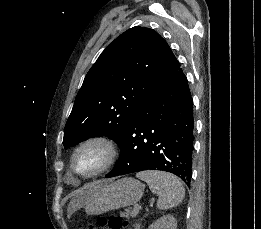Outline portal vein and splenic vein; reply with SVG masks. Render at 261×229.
Instances as JSON below:
<instances>
[{
	"label": "portal vein and splenic vein",
	"mask_w": 261,
	"mask_h": 229,
	"mask_svg": "<svg viewBox=\"0 0 261 229\" xmlns=\"http://www.w3.org/2000/svg\"><path fill=\"white\" fill-rule=\"evenodd\" d=\"M135 207H136V210H139V209H141V204L140 203H136Z\"/></svg>",
	"instance_id": "obj_1"
}]
</instances>
